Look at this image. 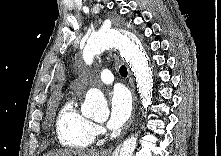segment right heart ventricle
Returning a JSON list of instances; mask_svg holds the SVG:
<instances>
[{
	"mask_svg": "<svg viewBox=\"0 0 221 156\" xmlns=\"http://www.w3.org/2000/svg\"><path fill=\"white\" fill-rule=\"evenodd\" d=\"M56 134L62 146L83 149L94 141V124L79 112L75 101L70 99L59 110L56 120Z\"/></svg>",
	"mask_w": 221,
	"mask_h": 156,
	"instance_id": "e07e8e85",
	"label": "right heart ventricle"
}]
</instances>
